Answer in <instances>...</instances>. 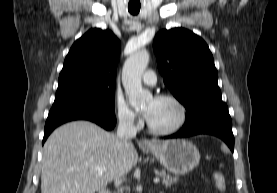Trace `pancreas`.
I'll list each match as a JSON object with an SVG mask.
<instances>
[{"instance_id":"cf45deb5","label":"pancreas","mask_w":277,"mask_h":193,"mask_svg":"<svg viewBox=\"0 0 277 193\" xmlns=\"http://www.w3.org/2000/svg\"><path fill=\"white\" fill-rule=\"evenodd\" d=\"M159 176L162 178L163 184L165 186H171L173 183H176L178 181L177 176H171L170 174H167L165 170L160 171ZM115 193H128V192L124 188H119Z\"/></svg>"}]
</instances>
